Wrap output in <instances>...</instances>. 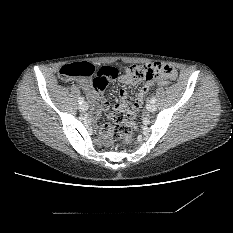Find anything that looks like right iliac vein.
Segmentation results:
<instances>
[{"label":"right iliac vein","instance_id":"63e3f726","mask_svg":"<svg viewBox=\"0 0 233 233\" xmlns=\"http://www.w3.org/2000/svg\"><path fill=\"white\" fill-rule=\"evenodd\" d=\"M79 109H80V111H82V112L87 111V110H88V104H87V103H82V104H80V105H79Z\"/></svg>","mask_w":233,"mask_h":233}]
</instances>
